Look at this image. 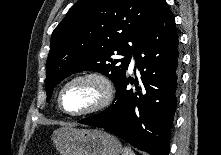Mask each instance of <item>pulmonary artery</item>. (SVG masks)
I'll return each instance as SVG.
<instances>
[{"label":"pulmonary artery","mask_w":221,"mask_h":155,"mask_svg":"<svg viewBox=\"0 0 221 155\" xmlns=\"http://www.w3.org/2000/svg\"><path fill=\"white\" fill-rule=\"evenodd\" d=\"M135 67V59L133 55H131V61H130V69L132 70Z\"/></svg>","instance_id":"e3ab8cb5"}]
</instances>
